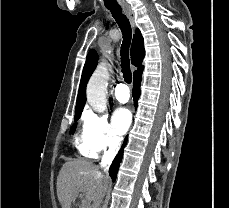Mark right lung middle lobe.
Wrapping results in <instances>:
<instances>
[{"label": "right lung middle lobe", "mask_w": 229, "mask_h": 208, "mask_svg": "<svg viewBox=\"0 0 229 208\" xmlns=\"http://www.w3.org/2000/svg\"><path fill=\"white\" fill-rule=\"evenodd\" d=\"M78 119H76L75 121H77ZM76 126H77V123H75L72 127H71V129H70V132L71 133H74V131H75V129H76Z\"/></svg>", "instance_id": "dd1d6c3e"}]
</instances>
